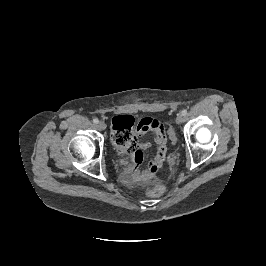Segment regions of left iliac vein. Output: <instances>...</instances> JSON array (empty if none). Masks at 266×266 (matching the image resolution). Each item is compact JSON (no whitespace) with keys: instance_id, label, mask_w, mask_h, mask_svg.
Returning a JSON list of instances; mask_svg holds the SVG:
<instances>
[{"instance_id":"left-iliac-vein-1","label":"left iliac vein","mask_w":266,"mask_h":266,"mask_svg":"<svg viewBox=\"0 0 266 266\" xmlns=\"http://www.w3.org/2000/svg\"><path fill=\"white\" fill-rule=\"evenodd\" d=\"M184 122V116L182 114H178L176 117V123L177 124H182Z\"/></svg>"}]
</instances>
